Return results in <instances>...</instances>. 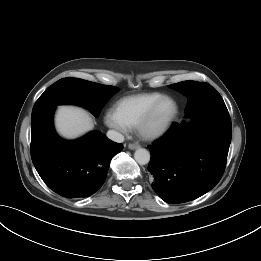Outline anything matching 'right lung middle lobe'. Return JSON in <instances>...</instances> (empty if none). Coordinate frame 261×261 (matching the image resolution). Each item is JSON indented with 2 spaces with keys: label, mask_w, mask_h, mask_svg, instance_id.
Instances as JSON below:
<instances>
[{
  "label": "right lung middle lobe",
  "mask_w": 261,
  "mask_h": 261,
  "mask_svg": "<svg viewBox=\"0 0 261 261\" xmlns=\"http://www.w3.org/2000/svg\"><path fill=\"white\" fill-rule=\"evenodd\" d=\"M113 86L102 85L78 78H64L48 87L36 101L32 115L60 104H76L87 108L95 117L107 101L118 92Z\"/></svg>",
  "instance_id": "right-lung-middle-lobe-1"
}]
</instances>
